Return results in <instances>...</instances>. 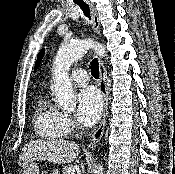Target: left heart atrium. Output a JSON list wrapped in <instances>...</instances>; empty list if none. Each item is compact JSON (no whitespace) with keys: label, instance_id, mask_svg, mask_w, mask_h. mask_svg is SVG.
Listing matches in <instances>:
<instances>
[{"label":"left heart atrium","instance_id":"obj_1","mask_svg":"<svg viewBox=\"0 0 175 174\" xmlns=\"http://www.w3.org/2000/svg\"><path fill=\"white\" fill-rule=\"evenodd\" d=\"M78 106L76 117L84 126L95 124L102 112V98L98 90L94 87L83 88L77 97Z\"/></svg>","mask_w":175,"mask_h":174}]
</instances>
